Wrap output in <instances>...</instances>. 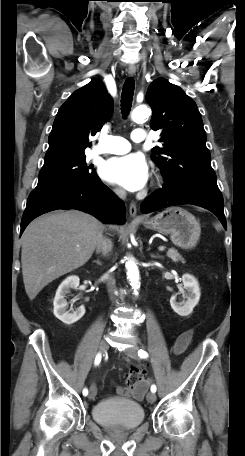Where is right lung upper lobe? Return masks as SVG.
I'll return each instance as SVG.
<instances>
[{
  "label": "right lung upper lobe",
  "mask_w": 245,
  "mask_h": 456,
  "mask_svg": "<svg viewBox=\"0 0 245 456\" xmlns=\"http://www.w3.org/2000/svg\"><path fill=\"white\" fill-rule=\"evenodd\" d=\"M113 113V101L103 82L92 80L76 90L54 120L43 167L85 156L88 137L95 135Z\"/></svg>",
  "instance_id": "obj_1"
}]
</instances>
